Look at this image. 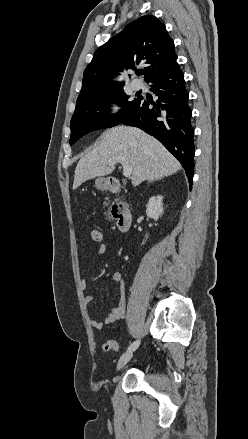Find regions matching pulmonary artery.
<instances>
[{"label":"pulmonary artery","mask_w":248,"mask_h":439,"mask_svg":"<svg viewBox=\"0 0 248 439\" xmlns=\"http://www.w3.org/2000/svg\"><path fill=\"white\" fill-rule=\"evenodd\" d=\"M130 85H131L132 89H134V90H139L143 87L142 82L140 80H137V79H133L131 81Z\"/></svg>","instance_id":"pulmonary-artery-1"}]
</instances>
